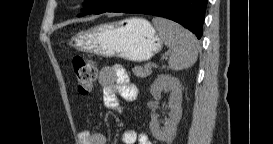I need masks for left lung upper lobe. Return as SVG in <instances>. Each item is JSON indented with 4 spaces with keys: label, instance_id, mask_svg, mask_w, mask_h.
Returning a JSON list of instances; mask_svg holds the SVG:
<instances>
[{
    "label": "left lung upper lobe",
    "instance_id": "obj_1",
    "mask_svg": "<svg viewBox=\"0 0 273 144\" xmlns=\"http://www.w3.org/2000/svg\"><path fill=\"white\" fill-rule=\"evenodd\" d=\"M106 0H86L84 5V13L85 15L94 14L96 11L100 10L104 5Z\"/></svg>",
    "mask_w": 273,
    "mask_h": 144
}]
</instances>
